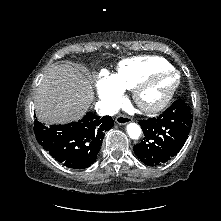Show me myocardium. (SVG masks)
Returning <instances> with one entry per match:
<instances>
[{
  "instance_id": "obj_1",
  "label": "myocardium",
  "mask_w": 221,
  "mask_h": 221,
  "mask_svg": "<svg viewBox=\"0 0 221 221\" xmlns=\"http://www.w3.org/2000/svg\"><path fill=\"white\" fill-rule=\"evenodd\" d=\"M164 77H172L173 82L169 87L166 94L156 102H147L144 100V93L151 88L156 82ZM180 86V76L173 68L160 69L152 72L145 77L137 86L133 89V99L136 105L146 113H157L171 102Z\"/></svg>"
}]
</instances>
